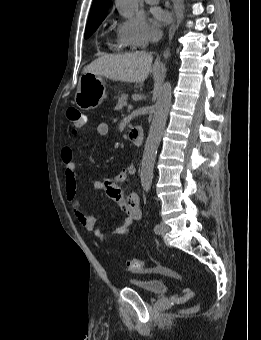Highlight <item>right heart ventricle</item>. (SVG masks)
Segmentation results:
<instances>
[{
    "mask_svg": "<svg viewBox=\"0 0 261 340\" xmlns=\"http://www.w3.org/2000/svg\"><path fill=\"white\" fill-rule=\"evenodd\" d=\"M109 46L111 49L118 51L132 47V45L119 33L117 34V37L114 40L110 41Z\"/></svg>",
    "mask_w": 261,
    "mask_h": 340,
    "instance_id": "1",
    "label": "right heart ventricle"
}]
</instances>
